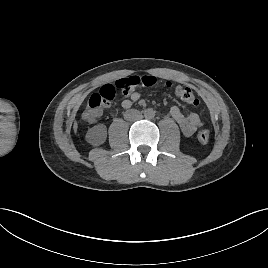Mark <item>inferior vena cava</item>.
I'll return each instance as SVG.
<instances>
[{
    "label": "inferior vena cava",
    "instance_id": "602c4592",
    "mask_svg": "<svg viewBox=\"0 0 268 268\" xmlns=\"http://www.w3.org/2000/svg\"><path fill=\"white\" fill-rule=\"evenodd\" d=\"M141 116H142V114L136 109H130L124 113V119H126L128 121L138 120L141 118Z\"/></svg>",
    "mask_w": 268,
    "mask_h": 268
}]
</instances>
